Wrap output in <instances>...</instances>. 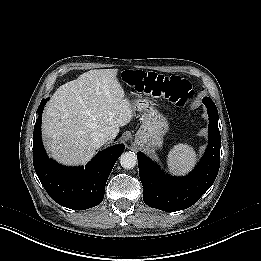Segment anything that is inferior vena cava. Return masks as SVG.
Segmentation results:
<instances>
[{"mask_svg":"<svg viewBox=\"0 0 261 261\" xmlns=\"http://www.w3.org/2000/svg\"><path fill=\"white\" fill-rule=\"evenodd\" d=\"M109 141V137L104 133H95L92 137V143L96 149L100 148Z\"/></svg>","mask_w":261,"mask_h":261,"instance_id":"602c4592","label":"inferior vena cava"}]
</instances>
